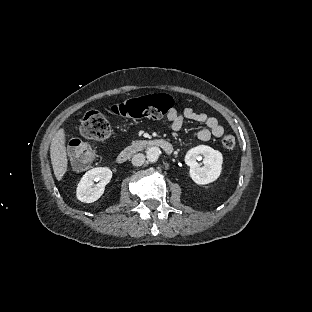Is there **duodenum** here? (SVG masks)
Segmentation results:
<instances>
[{"label":"duodenum","mask_w":312,"mask_h":312,"mask_svg":"<svg viewBox=\"0 0 312 312\" xmlns=\"http://www.w3.org/2000/svg\"><path fill=\"white\" fill-rule=\"evenodd\" d=\"M151 146H156L161 148L164 152L167 154H173L175 151L174 145L162 138H153L150 140H147L141 144V147H151ZM137 146H128L124 148L117 156V162L118 163H124L127 159H129L137 150Z\"/></svg>","instance_id":"1"}]
</instances>
